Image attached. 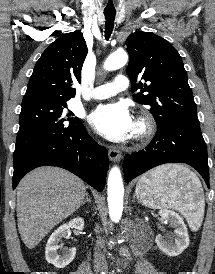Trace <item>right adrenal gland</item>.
Returning <instances> with one entry per match:
<instances>
[{"mask_svg": "<svg viewBox=\"0 0 215 274\" xmlns=\"http://www.w3.org/2000/svg\"><path fill=\"white\" fill-rule=\"evenodd\" d=\"M86 202L91 203V200H90V198H89L88 193H86V195H85V200L83 201L82 205H84Z\"/></svg>", "mask_w": 215, "mask_h": 274, "instance_id": "obj_1", "label": "right adrenal gland"}]
</instances>
